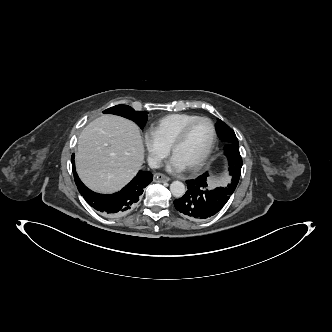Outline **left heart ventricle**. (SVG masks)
Masks as SVG:
<instances>
[{
	"instance_id": "left-heart-ventricle-1",
	"label": "left heart ventricle",
	"mask_w": 332,
	"mask_h": 332,
	"mask_svg": "<svg viewBox=\"0 0 332 332\" xmlns=\"http://www.w3.org/2000/svg\"><path fill=\"white\" fill-rule=\"evenodd\" d=\"M211 139V125L207 121L197 122L189 130L182 144L175 149L173 156L188 168L204 154Z\"/></svg>"
}]
</instances>
